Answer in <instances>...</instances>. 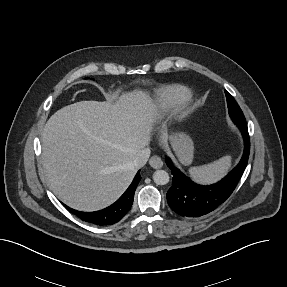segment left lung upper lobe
<instances>
[{
  "label": "left lung upper lobe",
  "mask_w": 287,
  "mask_h": 287,
  "mask_svg": "<svg viewBox=\"0 0 287 287\" xmlns=\"http://www.w3.org/2000/svg\"><path fill=\"white\" fill-rule=\"evenodd\" d=\"M229 115L233 121H246L242 110L229 92L225 90Z\"/></svg>",
  "instance_id": "1"
}]
</instances>
